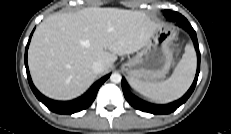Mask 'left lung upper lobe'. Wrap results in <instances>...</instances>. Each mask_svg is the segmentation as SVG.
Masks as SVG:
<instances>
[{
	"label": "left lung upper lobe",
	"instance_id": "left-lung-upper-lobe-1",
	"mask_svg": "<svg viewBox=\"0 0 231 134\" xmlns=\"http://www.w3.org/2000/svg\"><path fill=\"white\" fill-rule=\"evenodd\" d=\"M172 14H174V11H170V10H165L164 11V15L166 16V17H170V15H172Z\"/></svg>",
	"mask_w": 231,
	"mask_h": 134
}]
</instances>
